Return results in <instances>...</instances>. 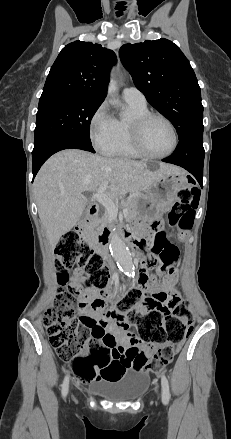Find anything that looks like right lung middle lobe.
<instances>
[{"label":"right lung middle lobe","instance_id":"obj_1","mask_svg":"<svg viewBox=\"0 0 231 439\" xmlns=\"http://www.w3.org/2000/svg\"><path fill=\"white\" fill-rule=\"evenodd\" d=\"M101 103V101L77 97L40 101L33 150L61 135L73 136L91 144L90 122Z\"/></svg>","mask_w":231,"mask_h":439}]
</instances>
